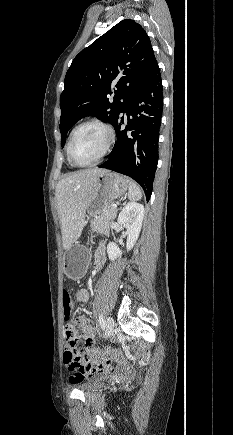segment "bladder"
<instances>
[{"label": "bladder", "mask_w": 233, "mask_h": 435, "mask_svg": "<svg viewBox=\"0 0 233 435\" xmlns=\"http://www.w3.org/2000/svg\"><path fill=\"white\" fill-rule=\"evenodd\" d=\"M93 378V381L87 384H84L83 386L80 387L81 390L83 391H89V390H94V389H98L101 385V382L103 380L106 379V376L103 375H92L91 376Z\"/></svg>", "instance_id": "31cf9c89"}]
</instances>
